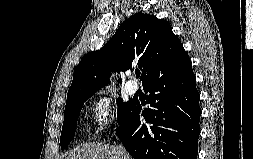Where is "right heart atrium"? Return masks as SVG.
<instances>
[{
	"instance_id": "1",
	"label": "right heart atrium",
	"mask_w": 253,
	"mask_h": 159,
	"mask_svg": "<svg viewBox=\"0 0 253 159\" xmlns=\"http://www.w3.org/2000/svg\"><path fill=\"white\" fill-rule=\"evenodd\" d=\"M90 112L99 132H108L116 125L115 107L109 96L99 95L95 97L90 104Z\"/></svg>"
}]
</instances>
